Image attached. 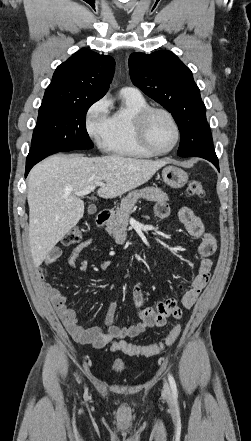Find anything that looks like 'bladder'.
Returning <instances> with one entry per match:
<instances>
[{"instance_id": "31cf9c89", "label": "bladder", "mask_w": 251, "mask_h": 441, "mask_svg": "<svg viewBox=\"0 0 251 441\" xmlns=\"http://www.w3.org/2000/svg\"><path fill=\"white\" fill-rule=\"evenodd\" d=\"M124 370V366L120 364H114L110 367V371L114 374H121Z\"/></svg>"}]
</instances>
